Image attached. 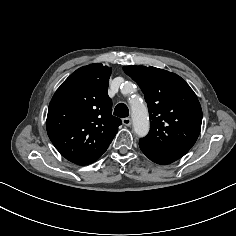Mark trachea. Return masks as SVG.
I'll list each match as a JSON object with an SVG mask.
<instances>
[{
  "mask_svg": "<svg viewBox=\"0 0 236 236\" xmlns=\"http://www.w3.org/2000/svg\"><path fill=\"white\" fill-rule=\"evenodd\" d=\"M114 115L120 118L128 117L129 115L128 107L124 103H119L115 107Z\"/></svg>",
  "mask_w": 236,
  "mask_h": 236,
  "instance_id": "trachea-1",
  "label": "trachea"
}]
</instances>
